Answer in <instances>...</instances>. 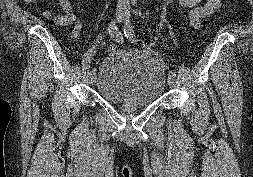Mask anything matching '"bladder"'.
<instances>
[{
	"mask_svg": "<svg viewBox=\"0 0 253 177\" xmlns=\"http://www.w3.org/2000/svg\"><path fill=\"white\" fill-rule=\"evenodd\" d=\"M95 82L97 94L108 103L151 105L163 94L164 65L151 51L117 50L102 61Z\"/></svg>",
	"mask_w": 253,
	"mask_h": 177,
	"instance_id": "bladder-1",
	"label": "bladder"
}]
</instances>
